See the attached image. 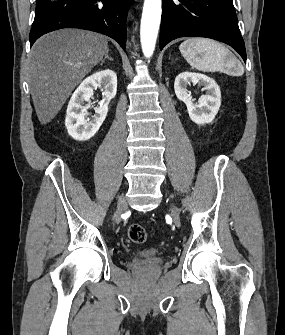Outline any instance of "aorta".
<instances>
[{"label":"aorta","mask_w":285,"mask_h":335,"mask_svg":"<svg viewBox=\"0 0 285 335\" xmlns=\"http://www.w3.org/2000/svg\"><path fill=\"white\" fill-rule=\"evenodd\" d=\"M161 4V0L144 2L140 36L145 58H151L154 54L162 14Z\"/></svg>","instance_id":"aorta-1"}]
</instances>
